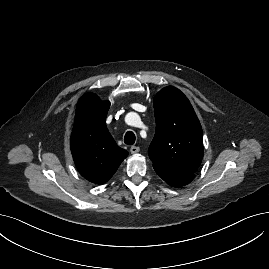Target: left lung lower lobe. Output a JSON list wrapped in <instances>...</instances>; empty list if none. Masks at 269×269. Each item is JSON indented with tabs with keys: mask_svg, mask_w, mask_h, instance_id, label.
<instances>
[{
	"mask_svg": "<svg viewBox=\"0 0 269 269\" xmlns=\"http://www.w3.org/2000/svg\"><path fill=\"white\" fill-rule=\"evenodd\" d=\"M156 173L170 186L181 187L190 183L195 175L192 173L173 172L155 168Z\"/></svg>",
	"mask_w": 269,
	"mask_h": 269,
	"instance_id": "0a47b994",
	"label": "left lung lower lobe"
}]
</instances>
